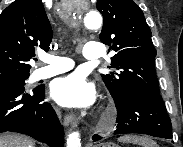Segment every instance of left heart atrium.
<instances>
[{
    "label": "left heart atrium",
    "mask_w": 183,
    "mask_h": 147,
    "mask_svg": "<svg viewBox=\"0 0 183 147\" xmlns=\"http://www.w3.org/2000/svg\"><path fill=\"white\" fill-rule=\"evenodd\" d=\"M52 98L65 107H86L95 99L94 86L81 74L56 79L51 86Z\"/></svg>",
    "instance_id": "left-heart-atrium-1"
}]
</instances>
